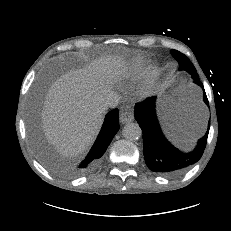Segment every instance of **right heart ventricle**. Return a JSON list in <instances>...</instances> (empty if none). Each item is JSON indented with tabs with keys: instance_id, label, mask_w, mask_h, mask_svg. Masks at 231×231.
<instances>
[{
	"instance_id": "e07e8e85",
	"label": "right heart ventricle",
	"mask_w": 231,
	"mask_h": 231,
	"mask_svg": "<svg viewBox=\"0 0 231 231\" xmlns=\"http://www.w3.org/2000/svg\"><path fill=\"white\" fill-rule=\"evenodd\" d=\"M145 69V62L144 61H139L133 68L132 72L134 74H141L144 72Z\"/></svg>"
}]
</instances>
